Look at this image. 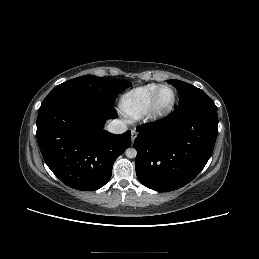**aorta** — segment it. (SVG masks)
Wrapping results in <instances>:
<instances>
[{"instance_id": "obj_1", "label": "aorta", "mask_w": 259, "mask_h": 259, "mask_svg": "<svg viewBox=\"0 0 259 259\" xmlns=\"http://www.w3.org/2000/svg\"><path fill=\"white\" fill-rule=\"evenodd\" d=\"M125 153L128 158H135L137 155V151L135 148H129L126 150Z\"/></svg>"}]
</instances>
